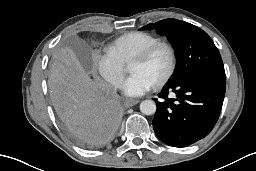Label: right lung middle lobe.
I'll use <instances>...</instances> for the list:
<instances>
[{
    "label": "right lung middle lobe",
    "mask_w": 256,
    "mask_h": 171,
    "mask_svg": "<svg viewBox=\"0 0 256 171\" xmlns=\"http://www.w3.org/2000/svg\"><path fill=\"white\" fill-rule=\"evenodd\" d=\"M51 90L54 104L58 101L65 100L71 94V88L57 83L52 85Z\"/></svg>",
    "instance_id": "1"
}]
</instances>
